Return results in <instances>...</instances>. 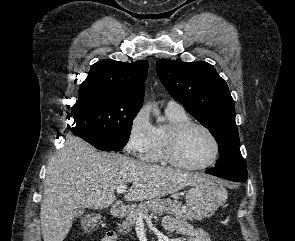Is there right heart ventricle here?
Returning a JSON list of instances; mask_svg holds the SVG:
<instances>
[{"label": "right heart ventricle", "instance_id": "right-heart-ventricle-1", "mask_svg": "<svg viewBox=\"0 0 295 241\" xmlns=\"http://www.w3.org/2000/svg\"><path fill=\"white\" fill-rule=\"evenodd\" d=\"M166 115L168 117V123L165 125L156 126L153 129L151 144L143 155L145 160L152 162L163 161L164 157L162 153V147L167 130L175 124L191 120L184 109L167 108Z\"/></svg>", "mask_w": 295, "mask_h": 241}]
</instances>
